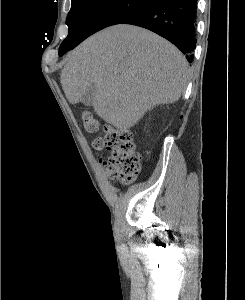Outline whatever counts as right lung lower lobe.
I'll return each mask as SVG.
<instances>
[{
	"label": "right lung lower lobe",
	"mask_w": 245,
	"mask_h": 300,
	"mask_svg": "<svg viewBox=\"0 0 245 300\" xmlns=\"http://www.w3.org/2000/svg\"><path fill=\"white\" fill-rule=\"evenodd\" d=\"M196 2L197 0H154L121 24L136 25L157 33L177 46L190 62L197 41Z\"/></svg>",
	"instance_id": "right-lung-lower-lobe-1"
}]
</instances>
